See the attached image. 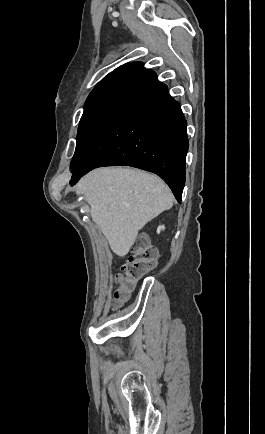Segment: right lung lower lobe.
Listing matches in <instances>:
<instances>
[{
	"label": "right lung lower lobe",
	"instance_id": "obj_1",
	"mask_svg": "<svg viewBox=\"0 0 265 434\" xmlns=\"http://www.w3.org/2000/svg\"><path fill=\"white\" fill-rule=\"evenodd\" d=\"M187 122L179 102L154 71L136 74L124 88L80 163L70 184L102 166L127 165L159 175L177 201L185 184Z\"/></svg>",
	"mask_w": 265,
	"mask_h": 434
}]
</instances>
